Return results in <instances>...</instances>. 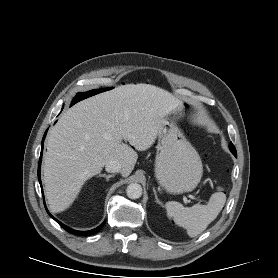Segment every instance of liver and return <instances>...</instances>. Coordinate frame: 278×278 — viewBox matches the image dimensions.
<instances>
[{"label":"liver","instance_id":"6515ba94","mask_svg":"<svg viewBox=\"0 0 278 278\" xmlns=\"http://www.w3.org/2000/svg\"><path fill=\"white\" fill-rule=\"evenodd\" d=\"M178 98L148 84H126L87 98L62 114L50 130L44 155L45 195L53 212L71 206L82 186L108 161L130 175L155 142L166 116L181 111Z\"/></svg>","mask_w":278,"mask_h":278}]
</instances>
